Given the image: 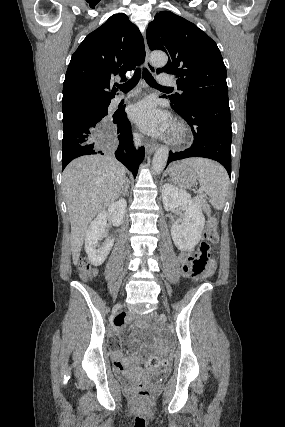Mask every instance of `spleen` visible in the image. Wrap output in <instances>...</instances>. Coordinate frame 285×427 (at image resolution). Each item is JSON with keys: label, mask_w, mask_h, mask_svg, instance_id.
<instances>
[{"label": "spleen", "mask_w": 285, "mask_h": 427, "mask_svg": "<svg viewBox=\"0 0 285 427\" xmlns=\"http://www.w3.org/2000/svg\"><path fill=\"white\" fill-rule=\"evenodd\" d=\"M183 163L195 170L202 190L211 198L212 206L217 210L223 209L229 190L226 170L220 164L205 159H187Z\"/></svg>", "instance_id": "1"}]
</instances>
